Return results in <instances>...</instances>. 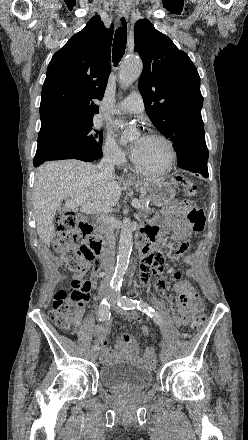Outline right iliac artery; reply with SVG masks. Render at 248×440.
Here are the masks:
<instances>
[{
    "instance_id": "1",
    "label": "right iliac artery",
    "mask_w": 248,
    "mask_h": 440,
    "mask_svg": "<svg viewBox=\"0 0 248 440\" xmlns=\"http://www.w3.org/2000/svg\"><path fill=\"white\" fill-rule=\"evenodd\" d=\"M98 315L100 321H106L110 319V304L108 303L107 298H103V300L101 301L98 309ZM93 350L98 351L99 346L94 345Z\"/></svg>"
}]
</instances>
